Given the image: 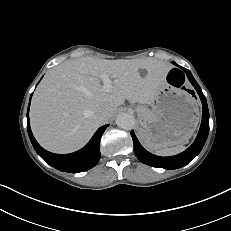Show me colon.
<instances>
[{
	"label": "colon",
	"mask_w": 231,
	"mask_h": 231,
	"mask_svg": "<svg viewBox=\"0 0 231 231\" xmlns=\"http://www.w3.org/2000/svg\"><path fill=\"white\" fill-rule=\"evenodd\" d=\"M170 79L178 86H182L184 84L183 77L177 71H173L170 73Z\"/></svg>",
	"instance_id": "colon-1"
}]
</instances>
